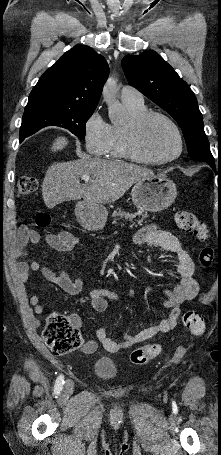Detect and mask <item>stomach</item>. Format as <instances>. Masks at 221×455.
I'll return each instance as SVG.
<instances>
[{
    "mask_svg": "<svg viewBox=\"0 0 221 455\" xmlns=\"http://www.w3.org/2000/svg\"><path fill=\"white\" fill-rule=\"evenodd\" d=\"M177 194L175 183L161 175L137 181L131 191L134 205L149 212L167 209L173 204ZM75 213L80 224L88 230L102 229L108 216V211L103 205L85 201L76 205Z\"/></svg>",
    "mask_w": 221,
    "mask_h": 455,
    "instance_id": "1",
    "label": "stomach"
}]
</instances>
